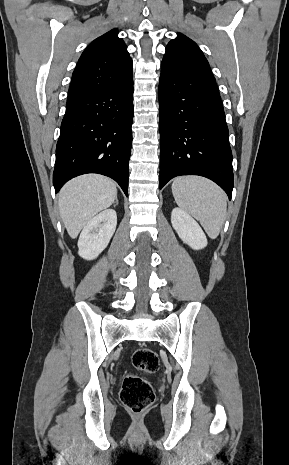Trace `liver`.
I'll return each instance as SVG.
<instances>
[{
    "label": "liver",
    "instance_id": "liver-1",
    "mask_svg": "<svg viewBox=\"0 0 289 465\" xmlns=\"http://www.w3.org/2000/svg\"><path fill=\"white\" fill-rule=\"evenodd\" d=\"M117 198L116 184L109 178L88 174L69 181L59 193V212L71 238Z\"/></svg>",
    "mask_w": 289,
    "mask_h": 465
}]
</instances>
